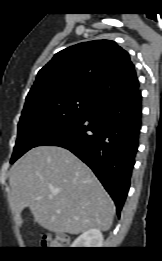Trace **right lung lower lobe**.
Returning <instances> with one entry per match:
<instances>
[{
  "instance_id": "obj_1",
  "label": "right lung lower lobe",
  "mask_w": 162,
  "mask_h": 261,
  "mask_svg": "<svg viewBox=\"0 0 162 261\" xmlns=\"http://www.w3.org/2000/svg\"><path fill=\"white\" fill-rule=\"evenodd\" d=\"M141 115L139 88L117 93L52 130L36 146H60L79 157L101 181L120 216L135 164Z\"/></svg>"
}]
</instances>
